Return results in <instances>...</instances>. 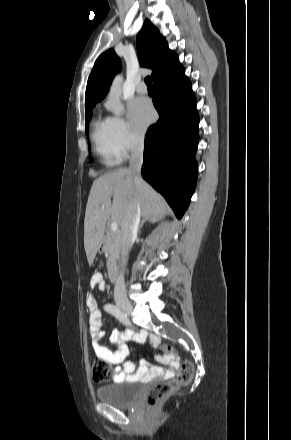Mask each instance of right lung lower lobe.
<instances>
[{"label":"right lung lower lobe","mask_w":291,"mask_h":440,"mask_svg":"<svg viewBox=\"0 0 291 440\" xmlns=\"http://www.w3.org/2000/svg\"><path fill=\"white\" fill-rule=\"evenodd\" d=\"M159 120L145 136L142 177L160 192L180 219L197 181L199 143L196 97L183 66L153 82Z\"/></svg>","instance_id":"obj_1"}]
</instances>
